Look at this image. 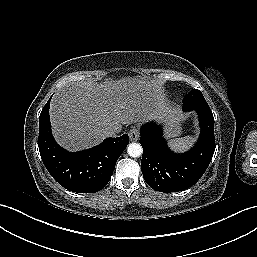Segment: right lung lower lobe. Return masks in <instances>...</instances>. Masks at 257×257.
<instances>
[{"label": "right lung lower lobe", "instance_id": "obj_1", "mask_svg": "<svg viewBox=\"0 0 257 257\" xmlns=\"http://www.w3.org/2000/svg\"><path fill=\"white\" fill-rule=\"evenodd\" d=\"M39 117L38 146L42 161L51 176L65 189L77 193H95L111 179L116 161L129 143L127 134L107 138L101 144L76 153L60 147L52 137L49 107Z\"/></svg>", "mask_w": 257, "mask_h": 257}]
</instances>
